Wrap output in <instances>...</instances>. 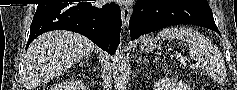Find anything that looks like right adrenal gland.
<instances>
[{"label": "right adrenal gland", "instance_id": "right-adrenal-gland-1", "mask_svg": "<svg viewBox=\"0 0 237 90\" xmlns=\"http://www.w3.org/2000/svg\"><path fill=\"white\" fill-rule=\"evenodd\" d=\"M88 60H92L91 56H85L84 58L85 64H88Z\"/></svg>", "mask_w": 237, "mask_h": 90}]
</instances>
